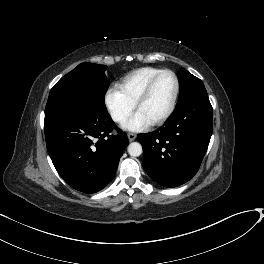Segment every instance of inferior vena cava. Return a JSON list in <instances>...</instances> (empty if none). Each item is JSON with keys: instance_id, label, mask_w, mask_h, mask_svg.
I'll return each instance as SVG.
<instances>
[{"instance_id": "1", "label": "inferior vena cava", "mask_w": 264, "mask_h": 264, "mask_svg": "<svg viewBox=\"0 0 264 264\" xmlns=\"http://www.w3.org/2000/svg\"><path fill=\"white\" fill-rule=\"evenodd\" d=\"M115 119H116L117 121H120V120H122L123 118H122L121 116H116Z\"/></svg>"}]
</instances>
